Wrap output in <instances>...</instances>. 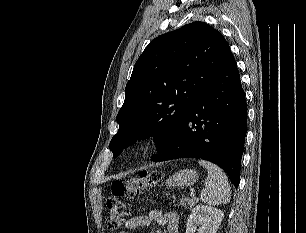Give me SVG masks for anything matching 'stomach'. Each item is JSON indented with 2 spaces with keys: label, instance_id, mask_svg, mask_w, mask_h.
<instances>
[{
  "label": "stomach",
  "instance_id": "stomach-1",
  "mask_svg": "<svg viewBox=\"0 0 306 233\" xmlns=\"http://www.w3.org/2000/svg\"><path fill=\"white\" fill-rule=\"evenodd\" d=\"M198 179V173L195 170L184 169L176 172L166 180V186L171 187H188L193 185Z\"/></svg>",
  "mask_w": 306,
  "mask_h": 233
}]
</instances>
